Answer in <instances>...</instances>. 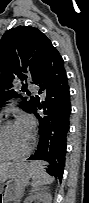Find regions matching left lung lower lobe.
<instances>
[{
  "mask_svg": "<svg viewBox=\"0 0 89 203\" xmlns=\"http://www.w3.org/2000/svg\"><path fill=\"white\" fill-rule=\"evenodd\" d=\"M33 82L38 86V94L45 98L40 103L37 96L30 111L39 120V138L35 152L27 160L42 164L44 172L61 181L71 104L64 61L52 44L47 47L43 65Z\"/></svg>",
  "mask_w": 89,
  "mask_h": 203,
  "instance_id": "obj_1",
  "label": "left lung lower lobe"
}]
</instances>
